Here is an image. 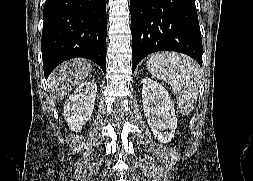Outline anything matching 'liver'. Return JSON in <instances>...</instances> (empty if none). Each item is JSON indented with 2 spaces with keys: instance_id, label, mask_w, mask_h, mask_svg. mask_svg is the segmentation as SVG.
I'll return each instance as SVG.
<instances>
[{
  "instance_id": "6515ba94",
  "label": "liver",
  "mask_w": 253,
  "mask_h": 181,
  "mask_svg": "<svg viewBox=\"0 0 253 181\" xmlns=\"http://www.w3.org/2000/svg\"><path fill=\"white\" fill-rule=\"evenodd\" d=\"M92 71V65L85 59H73L61 64L51 76V87L62 99L75 86L84 82Z\"/></svg>"
}]
</instances>
